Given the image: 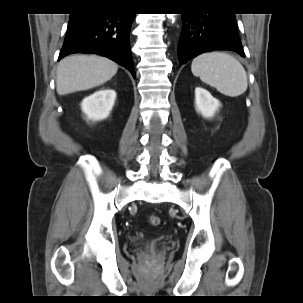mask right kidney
<instances>
[{"mask_svg": "<svg viewBox=\"0 0 303 303\" xmlns=\"http://www.w3.org/2000/svg\"><path fill=\"white\" fill-rule=\"evenodd\" d=\"M115 99L116 92L113 89H101L85 97L81 103V109L87 119L101 121L109 116Z\"/></svg>", "mask_w": 303, "mask_h": 303, "instance_id": "right-kidney-1", "label": "right kidney"}]
</instances>
